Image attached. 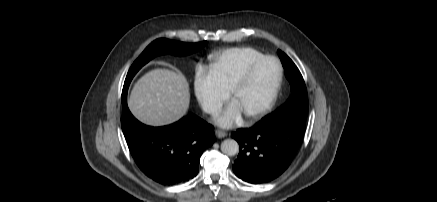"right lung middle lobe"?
<instances>
[{
    "label": "right lung middle lobe",
    "instance_id": "obj_1",
    "mask_svg": "<svg viewBox=\"0 0 437 202\" xmlns=\"http://www.w3.org/2000/svg\"><path fill=\"white\" fill-rule=\"evenodd\" d=\"M205 44L206 41L192 44L172 41L164 38L153 41L130 67L124 82L121 100H126L128 87L134 75L143 65H145L152 58L157 55L166 53L178 56L189 55L200 50Z\"/></svg>",
    "mask_w": 437,
    "mask_h": 202
}]
</instances>
